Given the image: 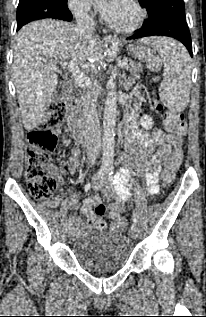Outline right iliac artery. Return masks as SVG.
<instances>
[{
	"label": "right iliac artery",
	"mask_w": 206,
	"mask_h": 317,
	"mask_svg": "<svg viewBox=\"0 0 206 317\" xmlns=\"http://www.w3.org/2000/svg\"><path fill=\"white\" fill-rule=\"evenodd\" d=\"M107 173V169L106 168H101L99 169V171L93 176L92 181H98L100 179H102ZM68 225L72 226L73 225V220L69 219L68 221Z\"/></svg>",
	"instance_id": "82829eb1"
}]
</instances>
